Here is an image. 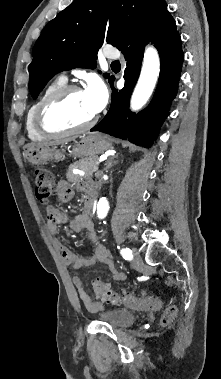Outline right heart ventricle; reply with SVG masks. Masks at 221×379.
Wrapping results in <instances>:
<instances>
[{
	"label": "right heart ventricle",
	"mask_w": 221,
	"mask_h": 379,
	"mask_svg": "<svg viewBox=\"0 0 221 379\" xmlns=\"http://www.w3.org/2000/svg\"><path fill=\"white\" fill-rule=\"evenodd\" d=\"M65 85V81L58 78L51 82L37 98V100L29 107L26 115V131L28 137L34 141H41L47 138V136L40 133L35 125V113L41 102L53 91Z\"/></svg>",
	"instance_id": "1"
}]
</instances>
